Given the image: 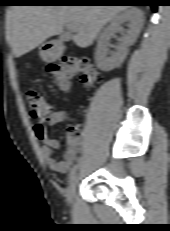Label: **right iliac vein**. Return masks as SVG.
<instances>
[{"label":"right iliac vein","instance_id":"1","mask_svg":"<svg viewBox=\"0 0 170 231\" xmlns=\"http://www.w3.org/2000/svg\"><path fill=\"white\" fill-rule=\"evenodd\" d=\"M81 177L80 174H76L70 181L68 190H67V201L72 204L76 194V189Z\"/></svg>","mask_w":170,"mask_h":231}]
</instances>
